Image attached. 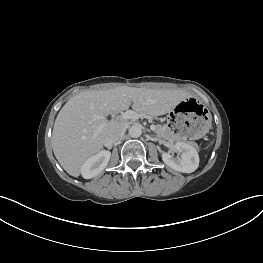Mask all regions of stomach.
Here are the masks:
<instances>
[{
	"instance_id": "obj_1",
	"label": "stomach",
	"mask_w": 263,
	"mask_h": 263,
	"mask_svg": "<svg viewBox=\"0 0 263 263\" xmlns=\"http://www.w3.org/2000/svg\"><path fill=\"white\" fill-rule=\"evenodd\" d=\"M169 113H172L171 121L175 132L185 139H199L205 136L212 126V113L209 107L199 100H183Z\"/></svg>"
}]
</instances>
